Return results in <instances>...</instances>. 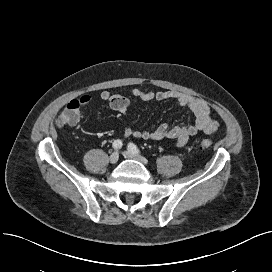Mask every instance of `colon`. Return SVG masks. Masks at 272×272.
Masks as SVG:
<instances>
[{
	"mask_svg": "<svg viewBox=\"0 0 272 272\" xmlns=\"http://www.w3.org/2000/svg\"><path fill=\"white\" fill-rule=\"evenodd\" d=\"M56 124L58 126H63V125H65V121H64V119L62 117H60L56 121ZM198 146H199L200 149H208L211 146V142L209 140H202V141L199 142Z\"/></svg>",
	"mask_w": 272,
	"mask_h": 272,
	"instance_id": "obj_1",
	"label": "colon"
}]
</instances>
